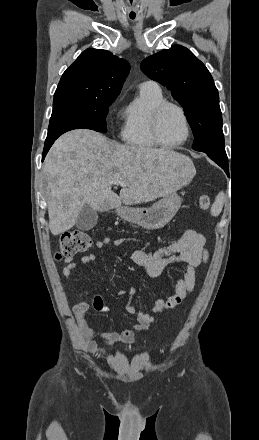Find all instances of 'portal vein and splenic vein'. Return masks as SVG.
Instances as JSON below:
<instances>
[{
	"label": "portal vein and splenic vein",
	"instance_id": "18ae733b",
	"mask_svg": "<svg viewBox=\"0 0 259 440\" xmlns=\"http://www.w3.org/2000/svg\"><path fill=\"white\" fill-rule=\"evenodd\" d=\"M115 185H120V186H122V187H125V186H127V184L124 182V181H116L115 182Z\"/></svg>",
	"mask_w": 259,
	"mask_h": 440
}]
</instances>
